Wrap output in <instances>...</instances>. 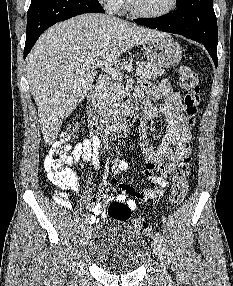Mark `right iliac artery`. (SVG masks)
Listing matches in <instances>:
<instances>
[{"instance_id": "obj_1", "label": "right iliac artery", "mask_w": 233, "mask_h": 286, "mask_svg": "<svg viewBox=\"0 0 233 286\" xmlns=\"http://www.w3.org/2000/svg\"><path fill=\"white\" fill-rule=\"evenodd\" d=\"M118 161H119L118 157L114 159L112 170L115 169V167L117 166ZM87 225H88V221L86 220V221H84L83 224L81 225V230H85V228L87 227Z\"/></svg>"}]
</instances>
